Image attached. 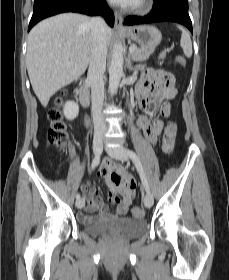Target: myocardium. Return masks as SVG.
<instances>
[{
  "mask_svg": "<svg viewBox=\"0 0 229 280\" xmlns=\"http://www.w3.org/2000/svg\"><path fill=\"white\" fill-rule=\"evenodd\" d=\"M152 7V0H140L135 6L130 7V9L136 13H144L150 10Z\"/></svg>",
  "mask_w": 229,
  "mask_h": 280,
  "instance_id": "f54148a6",
  "label": "myocardium"
}]
</instances>
